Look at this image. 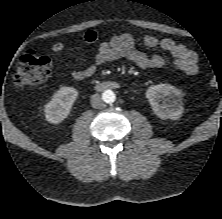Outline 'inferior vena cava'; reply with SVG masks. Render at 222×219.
I'll return each instance as SVG.
<instances>
[{
	"label": "inferior vena cava",
	"instance_id": "1",
	"mask_svg": "<svg viewBox=\"0 0 222 219\" xmlns=\"http://www.w3.org/2000/svg\"><path fill=\"white\" fill-rule=\"evenodd\" d=\"M91 105L93 108H96V109H100L103 107L104 102L102 98L100 97V95L94 94L91 96Z\"/></svg>",
	"mask_w": 222,
	"mask_h": 219
}]
</instances>
